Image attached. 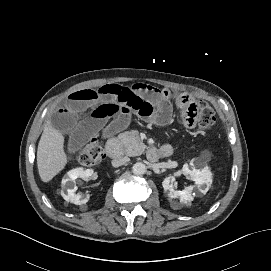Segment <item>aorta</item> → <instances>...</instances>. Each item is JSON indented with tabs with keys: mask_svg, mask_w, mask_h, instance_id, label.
I'll list each match as a JSON object with an SVG mask.
<instances>
[{
	"mask_svg": "<svg viewBox=\"0 0 271 271\" xmlns=\"http://www.w3.org/2000/svg\"><path fill=\"white\" fill-rule=\"evenodd\" d=\"M146 165L142 162H137L133 165L132 167V172L135 174V175H143L145 174L146 172Z\"/></svg>",
	"mask_w": 271,
	"mask_h": 271,
	"instance_id": "1",
	"label": "aorta"
}]
</instances>
